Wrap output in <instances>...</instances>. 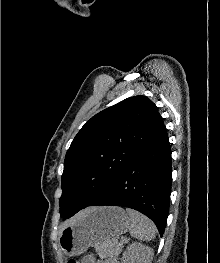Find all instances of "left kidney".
Returning a JSON list of instances; mask_svg holds the SVG:
<instances>
[{
	"instance_id": "left-kidney-1",
	"label": "left kidney",
	"mask_w": 220,
	"mask_h": 263,
	"mask_svg": "<svg viewBox=\"0 0 220 263\" xmlns=\"http://www.w3.org/2000/svg\"><path fill=\"white\" fill-rule=\"evenodd\" d=\"M153 250L139 243L127 247L122 257V263H151Z\"/></svg>"
}]
</instances>
